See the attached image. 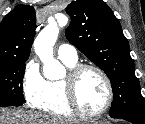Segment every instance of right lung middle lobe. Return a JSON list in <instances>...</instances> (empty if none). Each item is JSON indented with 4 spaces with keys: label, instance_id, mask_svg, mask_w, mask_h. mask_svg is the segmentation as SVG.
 Instances as JSON below:
<instances>
[{
    "label": "right lung middle lobe",
    "instance_id": "dd1d6c3e",
    "mask_svg": "<svg viewBox=\"0 0 145 124\" xmlns=\"http://www.w3.org/2000/svg\"><path fill=\"white\" fill-rule=\"evenodd\" d=\"M26 60L0 61V103H25L22 81Z\"/></svg>",
    "mask_w": 145,
    "mask_h": 124
}]
</instances>
